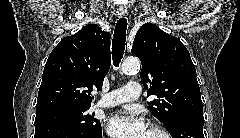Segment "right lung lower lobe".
Here are the masks:
<instances>
[{"label": "right lung lower lobe", "mask_w": 240, "mask_h": 138, "mask_svg": "<svg viewBox=\"0 0 240 138\" xmlns=\"http://www.w3.org/2000/svg\"><path fill=\"white\" fill-rule=\"evenodd\" d=\"M34 138H102V131L89 135L64 124H50L35 127Z\"/></svg>", "instance_id": "obj_1"}]
</instances>
